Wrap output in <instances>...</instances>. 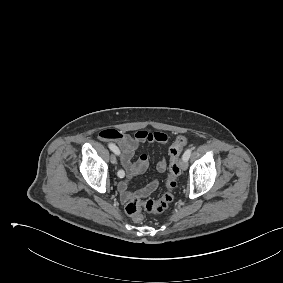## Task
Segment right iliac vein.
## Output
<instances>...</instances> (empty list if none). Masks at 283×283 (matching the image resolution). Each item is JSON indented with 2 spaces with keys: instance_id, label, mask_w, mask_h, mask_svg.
I'll return each instance as SVG.
<instances>
[{
  "instance_id": "1",
  "label": "right iliac vein",
  "mask_w": 283,
  "mask_h": 283,
  "mask_svg": "<svg viewBox=\"0 0 283 283\" xmlns=\"http://www.w3.org/2000/svg\"><path fill=\"white\" fill-rule=\"evenodd\" d=\"M110 161H111L112 164H116V163H117L116 156L112 154V155L110 156Z\"/></svg>"
}]
</instances>
